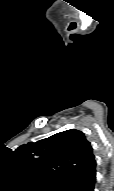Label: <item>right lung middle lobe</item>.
<instances>
[{
    "instance_id": "right-lung-middle-lobe-1",
    "label": "right lung middle lobe",
    "mask_w": 114,
    "mask_h": 191,
    "mask_svg": "<svg viewBox=\"0 0 114 191\" xmlns=\"http://www.w3.org/2000/svg\"><path fill=\"white\" fill-rule=\"evenodd\" d=\"M48 190H51V191H56L57 189H48Z\"/></svg>"
}]
</instances>
